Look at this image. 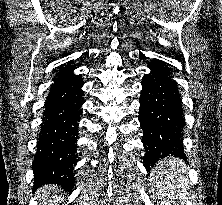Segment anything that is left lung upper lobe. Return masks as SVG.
I'll list each match as a JSON object with an SVG mask.
<instances>
[{"instance_id":"5c2ea615","label":"left lung upper lobe","mask_w":222,"mask_h":205,"mask_svg":"<svg viewBox=\"0 0 222 205\" xmlns=\"http://www.w3.org/2000/svg\"><path fill=\"white\" fill-rule=\"evenodd\" d=\"M163 155H164V153L160 151V152H158L157 157H159V158H160V157H162Z\"/></svg>"}]
</instances>
